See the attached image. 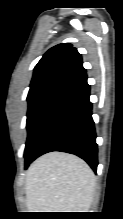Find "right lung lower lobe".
Segmentation results:
<instances>
[{
  "label": "right lung lower lobe",
  "instance_id": "right-lung-lower-lobe-1",
  "mask_svg": "<svg viewBox=\"0 0 123 219\" xmlns=\"http://www.w3.org/2000/svg\"><path fill=\"white\" fill-rule=\"evenodd\" d=\"M86 72L70 82L46 115L25 168L42 154L62 151L84 159L96 172L97 144Z\"/></svg>",
  "mask_w": 123,
  "mask_h": 219
}]
</instances>
